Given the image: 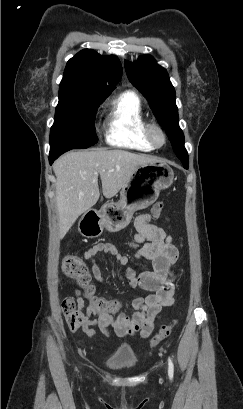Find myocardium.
Segmentation results:
<instances>
[{
  "label": "myocardium",
  "mask_w": 243,
  "mask_h": 409,
  "mask_svg": "<svg viewBox=\"0 0 243 409\" xmlns=\"http://www.w3.org/2000/svg\"><path fill=\"white\" fill-rule=\"evenodd\" d=\"M146 134L150 143L156 148H161L167 144V134L162 126L157 123L147 124ZM158 135L161 140L158 139Z\"/></svg>",
  "instance_id": "myocardium-1"
}]
</instances>
